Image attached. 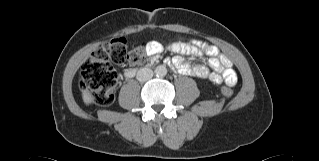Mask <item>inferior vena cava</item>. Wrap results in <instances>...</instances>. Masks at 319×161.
<instances>
[{
  "instance_id": "obj_1",
  "label": "inferior vena cava",
  "mask_w": 319,
  "mask_h": 161,
  "mask_svg": "<svg viewBox=\"0 0 319 161\" xmlns=\"http://www.w3.org/2000/svg\"><path fill=\"white\" fill-rule=\"evenodd\" d=\"M153 71L149 68H141L138 72H137V80L140 82H145L149 79H151L153 77Z\"/></svg>"
}]
</instances>
